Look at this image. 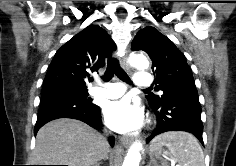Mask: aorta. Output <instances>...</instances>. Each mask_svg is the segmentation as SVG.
<instances>
[{
  "label": "aorta",
  "mask_w": 236,
  "mask_h": 166,
  "mask_svg": "<svg viewBox=\"0 0 236 166\" xmlns=\"http://www.w3.org/2000/svg\"><path fill=\"white\" fill-rule=\"evenodd\" d=\"M131 66L145 70L149 67V61L144 55L133 54L129 58ZM143 149L141 142H134L128 150L126 157L123 160L122 166H139L141 161V150Z\"/></svg>",
  "instance_id": "1"
}]
</instances>
